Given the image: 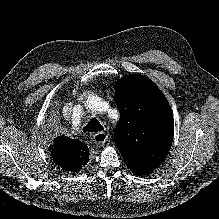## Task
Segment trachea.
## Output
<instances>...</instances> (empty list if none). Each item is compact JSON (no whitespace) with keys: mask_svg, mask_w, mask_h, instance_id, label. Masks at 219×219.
I'll use <instances>...</instances> for the list:
<instances>
[{"mask_svg":"<svg viewBox=\"0 0 219 219\" xmlns=\"http://www.w3.org/2000/svg\"><path fill=\"white\" fill-rule=\"evenodd\" d=\"M83 130L85 132H99L103 130V127L96 118H92Z\"/></svg>","mask_w":219,"mask_h":219,"instance_id":"3493384b","label":"trachea"}]
</instances>
